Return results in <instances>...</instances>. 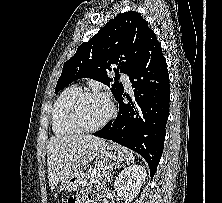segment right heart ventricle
I'll use <instances>...</instances> for the list:
<instances>
[{
	"label": "right heart ventricle",
	"instance_id": "1",
	"mask_svg": "<svg viewBox=\"0 0 222 203\" xmlns=\"http://www.w3.org/2000/svg\"><path fill=\"white\" fill-rule=\"evenodd\" d=\"M82 92L78 85L64 89L56 99L52 110V129L57 136H70L79 133L67 118V109L72 99Z\"/></svg>",
	"mask_w": 222,
	"mask_h": 203
}]
</instances>
